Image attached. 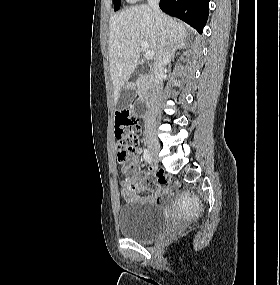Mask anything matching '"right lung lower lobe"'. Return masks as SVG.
Wrapping results in <instances>:
<instances>
[{
  "label": "right lung lower lobe",
  "instance_id": "obj_1",
  "mask_svg": "<svg viewBox=\"0 0 280 285\" xmlns=\"http://www.w3.org/2000/svg\"><path fill=\"white\" fill-rule=\"evenodd\" d=\"M210 0H160V8L165 13L180 18L200 33L206 24Z\"/></svg>",
  "mask_w": 280,
  "mask_h": 285
}]
</instances>
